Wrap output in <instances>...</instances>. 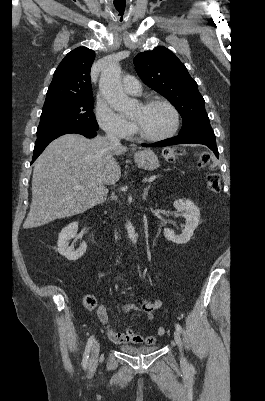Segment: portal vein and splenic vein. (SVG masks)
I'll list each match as a JSON object with an SVG mask.
<instances>
[{
    "mask_svg": "<svg viewBox=\"0 0 265 401\" xmlns=\"http://www.w3.org/2000/svg\"><path fill=\"white\" fill-rule=\"evenodd\" d=\"M163 178H165V175H159L158 174H154L153 176H151V178H148L147 182H153V181H159V180H163ZM74 188L75 190H82V188H85V186H80V184H74Z\"/></svg>",
    "mask_w": 265,
    "mask_h": 401,
    "instance_id": "portal-vein-and-splenic-vein-1",
    "label": "portal vein and splenic vein"
}]
</instances>
